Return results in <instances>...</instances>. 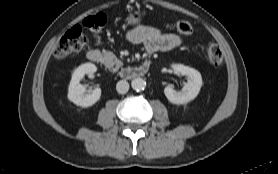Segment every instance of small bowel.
<instances>
[{"mask_svg": "<svg viewBox=\"0 0 278 174\" xmlns=\"http://www.w3.org/2000/svg\"><path fill=\"white\" fill-rule=\"evenodd\" d=\"M127 39L133 44H141L148 53L165 52L178 48L182 39L173 33H164L150 26H138L131 29Z\"/></svg>", "mask_w": 278, "mask_h": 174, "instance_id": "small-bowel-1", "label": "small bowel"}]
</instances>
